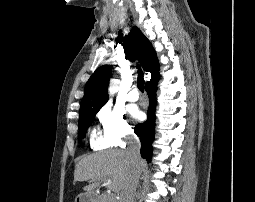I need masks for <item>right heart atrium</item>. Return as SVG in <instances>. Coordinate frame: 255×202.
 <instances>
[{
	"mask_svg": "<svg viewBox=\"0 0 255 202\" xmlns=\"http://www.w3.org/2000/svg\"><path fill=\"white\" fill-rule=\"evenodd\" d=\"M97 118L101 130L96 144L100 148L120 146L133 134V128L124 111L111 103L99 109Z\"/></svg>",
	"mask_w": 255,
	"mask_h": 202,
	"instance_id": "obj_1",
	"label": "right heart atrium"
}]
</instances>
